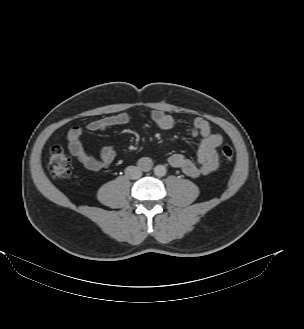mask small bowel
I'll list each match as a JSON object with an SVG mask.
<instances>
[{
    "mask_svg": "<svg viewBox=\"0 0 304 329\" xmlns=\"http://www.w3.org/2000/svg\"><path fill=\"white\" fill-rule=\"evenodd\" d=\"M151 119L161 129L186 126L198 142L197 161L195 162L181 154H173L169 157V163L173 168L181 170L191 178L206 176L218 168L217 149L222 144L223 138L220 134L211 132L210 125L205 119L195 117L189 120H179L160 110L153 111ZM130 122V116L121 113L93 120L86 125V129L88 131H104L112 126L126 125ZM81 136L82 129L80 127L71 128L68 133V145L71 154L86 169L97 172L112 164L116 156L115 147H105L100 156L96 157L87 151Z\"/></svg>",
    "mask_w": 304,
    "mask_h": 329,
    "instance_id": "obj_1",
    "label": "small bowel"
}]
</instances>
